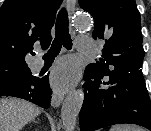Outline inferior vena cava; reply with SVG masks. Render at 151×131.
Instances as JSON below:
<instances>
[{
    "instance_id": "obj_1",
    "label": "inferior vena cava",
    "mask_w": 151,
    "mask_h": 131,
    "mask_svg": "<svg viewBox=\"0 0 151 131\" xmlns=\"http://www.w3.org/2000/svg\"><path fill=\"white\" fill-rule=\"evenodd\" d=\"M56 100V97H54L53 102Z\"/></svg>"
}]
</instances>
